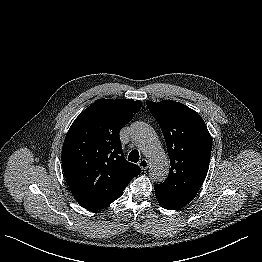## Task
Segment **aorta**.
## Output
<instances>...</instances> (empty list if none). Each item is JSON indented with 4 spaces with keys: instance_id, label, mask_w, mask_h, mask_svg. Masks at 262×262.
I'll use <instances>...</instances> for the list:
<instances>
[{
    "instance_id": "1",
    "label": "aorta",
    "mask_w": 262,
    "mask_h": 262,
    "mask_svg": "<svg viewBox=\"0 0 262 262\" xmlns=\"http://www.w3.org/2000/svg\"><path fill=\"white\" fill-rule=\"evenodd\" d=\"M131 138L150 161L151 180L163 182L169 173V161L153 128L146 123H135L131 128Z\"/></svg>"
}]
</instances>
